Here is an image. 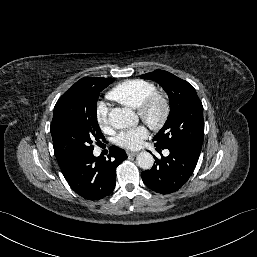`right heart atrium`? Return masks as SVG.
I'll return each mask as SVG.
<instances>
[{"label":"right heart atrium","mask_w":257,"mask_h":257,"mask_svg":"<svg viewBox=\"0 0 257 257\" xmlns=\"http://www.w3.org/2000/svg\"><path fill=\"white\" fill-rule=\"evenodd\" d=\"M108 108L105 104H100L97 109V122L101 128H105L108 125Z\"/></svg>","instance_id":"d8ad5b80"}]
</instances>
